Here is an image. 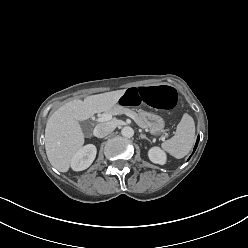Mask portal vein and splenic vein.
<instances>
[{"instance_id":"portal-vein-and-splenic-vein-1","label":"portal vein and splenic vein","mask_w":248,"mask_h":248,"mask_svg":"<svg viewBox=\"0 0 248 248\" xmlns=\"http://www.w3.org/2000/svg\"><path fill=\"white\" fill-rule=\"evenodd\" d=\"M133 118V117H131ZM112 119V115L111 114H108V113H104L102 114L98 119L97 121L98 122H106V121H110ZM134 119V118H133Z\"/></svg>"}]
</instances>
